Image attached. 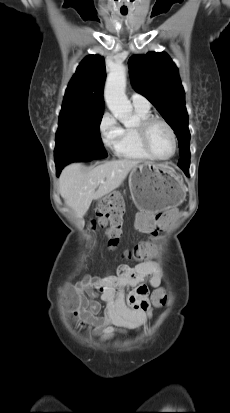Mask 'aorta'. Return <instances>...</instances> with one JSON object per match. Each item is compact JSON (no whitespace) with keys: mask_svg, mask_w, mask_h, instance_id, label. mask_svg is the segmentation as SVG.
<instances>
[{"mask_svg":"<svg viewBox=\"0 0 230 413\" xmlns=\"http://www.w3.org/2000/svg\"><path fill=\"white\" fill-rule=\"evenodd\" d=\"M126 68L114 66L108 74L104 98L111 113L125 126L133 123V107L125 94Z\"/></svg>","mask_w":230,"mask_h":413,"instance_id":"aorta-1","label":"aorta"}]
</instances>
